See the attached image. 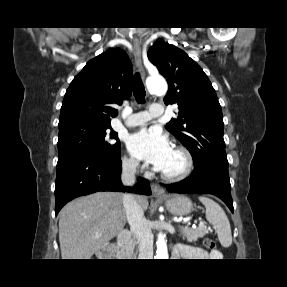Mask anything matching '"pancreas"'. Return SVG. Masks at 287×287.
Returning a JSON list of instances; mask_svg holds the SVG:
<instances>
[{
  "mask_svg": "<svg viewBox=\"0 0 287 287\" xmlns=\"http://www.w3.org/2000/svg\"><path fill=\"white\" fill-rule=\"evenodd\" d=\"M180 231L183 235V239H187L188 242H195L198 238L204 237L208 233V228L206 226L190 228L188 226L181 227Z\"/></svg>",
  "mask_w": 287,
  "mask_h": 287,
  "instance_id": "obj_1",
  "label": "pancreas"
}]
</instances>
